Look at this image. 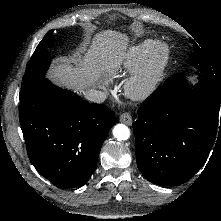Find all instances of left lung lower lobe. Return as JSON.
Masks as SVG:
<instances>
[{
	"instance_id": "1",
	"label": "left lung lower lobe",
	"mask_w": 221,
	"mask_h": 221,
	"mask_svg": "<svg viewBox=\"0 0 221 221\" xmlns=\"http://www.w3.org/2000/svg\"><path fill=\"white\" fill-rule=\"evenodd\" d=\"M197 75L194 87L184 74L170 76L143 102L133 123L137 166L154 184L187 182L220 136L221 81L214 75Z\"/></svg>"
}]
</instances>
